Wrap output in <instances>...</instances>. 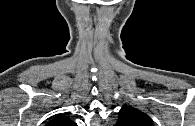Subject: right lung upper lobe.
<instances>
[{"mask_svg": "<svg viewBox=\"0 0 195 126\" xmlns=\"http://www.w3.org/2000/svg\"><path fill=\"white\" fill-rule=\"evenodd\" d=\"M47 126H76L68 117L64 115H59L49 121Z\"/></svg>", "mask_w": 195, "mask_h": 126, "instance_id": "1", "label": "right lung upper lobe"}]
</instances>
